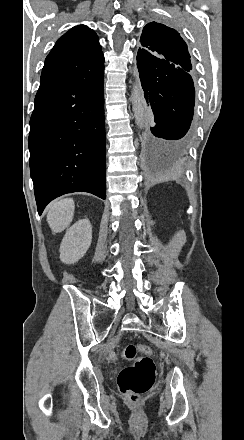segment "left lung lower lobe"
Segmentation results:
<instances>
[{"instance_id":"1","label":"left lung lower lobe","mask_w":244,"mask_h":440,"mask_svg":"<svg viewBox=\"0 0 244 440\" xmlns=\"http://www.w3.org/2000/svg\"><path fill=\"white\" fill-rule=\"evenodd\" d=\"M146 106L143 145L149 155L179 152L191 138L195 89L189 72L137 62Z\"/></svg>"}]
</instances>
